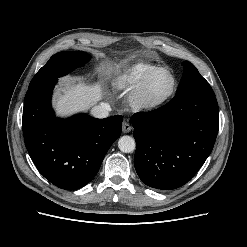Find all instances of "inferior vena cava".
I'll use <instances>...</instances> for the list:
<instances>
[{"mask_svg":"<svg viewBox=\"0 0 247 247\" xmlns=\"http://www.w3.org/2000/svg\"><path fill=\"white\" fill-rule=\"evenodd\" d=\"M110 105L105 102H101L99 105L94 106L91 110V114L96 118H106L109 115Z\"/></svg>","mask_w":247,"mask_h":247,"instance_id":"1","label":"inferior vena cava"}]
</instances>
